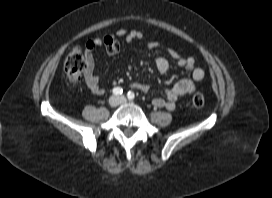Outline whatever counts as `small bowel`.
I'll return each instance as SVG.
<instances>
[{"label":"small bowel","mask_w":272,"mask_h":198,"mask_svg":"<svg viewBox=\"0 0 272 198\" xmlns=\"http://www.w3.org/2000/svg\"><path fill=\"white\" fill-rule=\"evenodd\" d=\"M143 37V34L139 30H126L118 29L113 34H107L100 38H93L85 44V81L87 87L95 95H103L105 88L100 85L99 77L95 64V51L104 47L108 54L116 55L119 52V43L117 38H124L127 42H133ZM147 47L149 49H157L158 44L156 42H148ZM170 58H172L179 67H183L190 71L188 78L182 79L174 86L165 89V99L155 98L153 105L159 108H166L167 110H174L176 101L185 95L191 94L196 89V83L202 80L204 77V71L201 68L195 66V59L193 57H185L173 49L167 51ZM155 66L161 73H166L169 69V60L166 57L159 56L155 59ZM131 88L139 90L141 92H147L149 85L142 82L131 83Z\"/></svg>","instance_id":"small-bowel-1"}]
</instances>
